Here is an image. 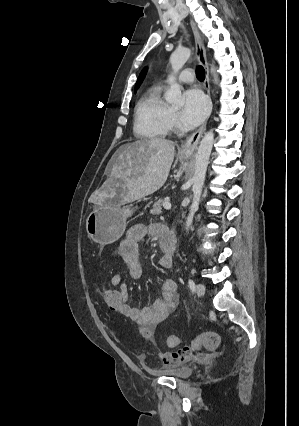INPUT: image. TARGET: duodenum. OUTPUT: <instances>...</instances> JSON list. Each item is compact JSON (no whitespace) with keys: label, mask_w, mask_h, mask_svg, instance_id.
<instances>
[{"label":"duodenum","mask_w":299,"mask_h":426,"mask_svg":"<svg viewBox=\"0 0 299 426\" xmlns=\"http://www.w3.org/2000/svg\"><path fill=\"white\" fill-rule=\"evenodd\" d=\"M160 247L166 255L173 256L176 250V236L173 231L163 228L160 236Z\"/></svg>","instance_id":"obj_1"}]
</instances>
